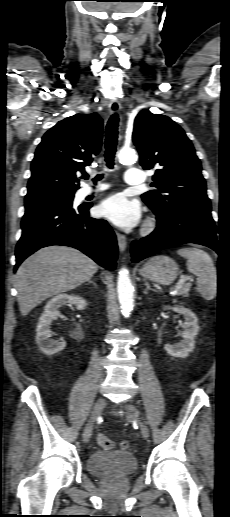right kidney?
Segmentation results:
<instances>
[{
    "instance_id": "ca27d5eb",
    "label": "right kidney",
    "mask_w": 230,
    "mask_h": 517,
    "mask_svg": "<svg viewBox=\"0 0 230 517\" xmlns=\"http://www.w3.org/2000/svg\"><path fill=\"white\" fill-rule=\"evenodd\" d=\"M63 305H75L78 310H84L87 302L83 297L67 294H59L50 299L42 313L36 328V343L39 349L46 355H53L66 347L65 341L50 339L51 322L59 316V308Z\"/></svg>"
}]
</instances>
